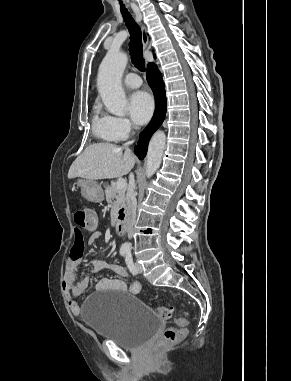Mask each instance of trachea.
I'll list each match as a JSON object with an SVG mask.
<instances>
[{
  "mask_svg": "<svg viewBox=\"0 0 291 381\" xmlns=\"http://www.w3.org/2000/svg\"><path fill=\"white\" fill-rule=\"evenodd\" d=\"M120 9L130 33V56L132 63L139 71L144 72L145 60L142 55L143 46L140 27L123 4L120 5Z\"/></svg>",
  "mask_w": 291,
  "mask_h": 381,
  "instance_id": "trachea-1",
  "label": "trachea"
}]
</instances>
